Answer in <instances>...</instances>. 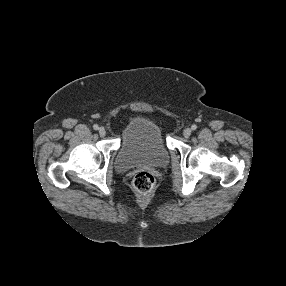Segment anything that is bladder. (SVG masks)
<instances>
[{
  "label": "bladder",
  "mask_w": 286,
  "mask_h": 286,
  "mask_svg": "<svg viewBox=\"0 0 286 286\" xmlns=\"http://www.w3.org/2000/svg\"><path fill=\"white\" fill-rule=\"evenodd\" d=\"M168 159L160 128L151 121L135 120L121 140L116 167L122 172L139 166L161 167Z\"/></svg>",
  "instance_id": "bladder-1"
}]
</instances>
